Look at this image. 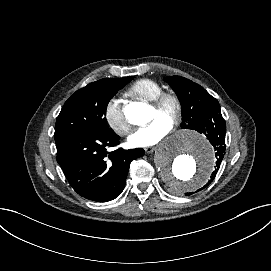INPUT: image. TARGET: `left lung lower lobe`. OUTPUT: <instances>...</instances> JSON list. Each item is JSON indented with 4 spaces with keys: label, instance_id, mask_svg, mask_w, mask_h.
<instances>
[{
    "label": "left lung lower lobe",
    "instance_id": "obj_1",
    "mask_svg": "<svg viewBox=\"0 0 271 271\" xmlns=\"http://www.w3.org/2000/svg\"><path fill=\"white\" fill-rule=\"evenodd\" d=\"M196 131L205 134V136L209 139L210 143L213 145L215 149V158H216L215 170L213 171L210 180L207 182V184L198 190L200 191L207 187L213 181L224 157L226 149L225 145L226 123L221 115V112L214 113L210 118L202 122L199 126H197ZM191 194L192 193H186L185 195L189 196Z\"/></svg>",
    "mask_w": 271,
    "mask_h": 271
}]
</instances>
